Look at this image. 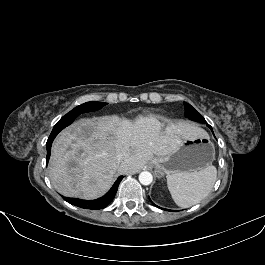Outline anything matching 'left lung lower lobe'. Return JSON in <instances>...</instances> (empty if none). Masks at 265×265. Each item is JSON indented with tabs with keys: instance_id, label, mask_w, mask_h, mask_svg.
Listing matches in <instances>:
<instances>
[{
	"instance_id": "0a47b994",
	"label": "left lung lower lobe",
	"mask_w": 265,
	"mask_h": 265,
	"mask_svg": "<svg viewBox=\"0 0 265 265\" xmlns=\"http://www.w3.org/2000/svg\"><path fill=\"white\" fill-rule=\"evenodd\" d=\"M205 123H206V122H205ZM207 126L212 130V127H211L210 125L207 124ZM212 132H213V130H212ZM164 210H166V209H164Z\"/></svg>"
}]
</instances>
